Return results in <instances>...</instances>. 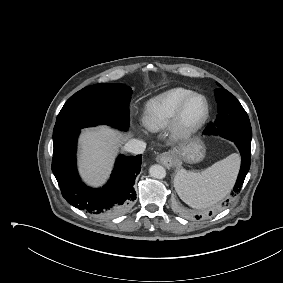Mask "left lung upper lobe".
Wrapping results in <instances>:
<instances>
[{
    "label": "left lung upper lobe",
    "instance_id": "obj_1",
    "mask_svg": "<svg viewBox=\"0 0 283 283\" xmlns=\"http://www.w3.org/2000/svg\"><path fill=\"white\" fill-rule=\"evenodd\" d=\"M214 93L218 103V115L207 131L233 142L251 144L252 129L249 117L240 102L223 88L215 89Z\"/></svg>",
    "mask_w": 283,
    "mask_h": 283
}]
</instances>
